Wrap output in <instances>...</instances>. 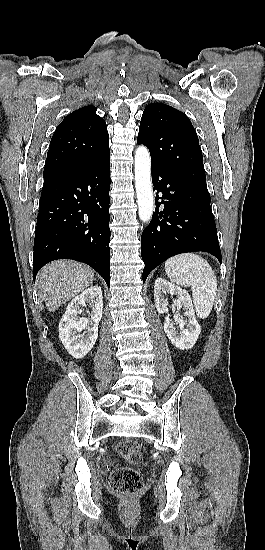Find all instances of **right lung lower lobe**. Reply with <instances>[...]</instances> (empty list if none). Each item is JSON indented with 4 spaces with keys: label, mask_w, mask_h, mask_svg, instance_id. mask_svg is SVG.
<instances>
[{
    "label": "right lung lower lobe",
    "mask_w": 265,
    "mask_h": 550,
    "mask_svg": "<svg viewBox=\"0 0 265 550\" xmlns=\"http://www.w3.org/2000/svg\"><path fill=\"white\" fill-rule=\"evenodd\" d=\"M110 158L44 178L34 239L33 279L55 259L95 269L110 287Z\"/></svg>",
    "instance_id": "right-lung-lower-lobe-1"
}]
</instances>
